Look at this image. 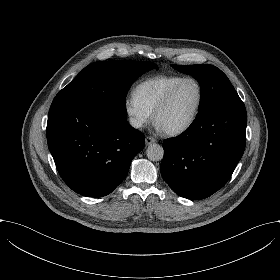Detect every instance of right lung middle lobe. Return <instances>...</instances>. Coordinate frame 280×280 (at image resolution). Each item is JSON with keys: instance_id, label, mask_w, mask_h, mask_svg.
<instances>
[{"instance_id": "dd1d6c3e", "label": "right lung middle lobe", "mask_w": 280, "mask_h": 280, "mask_svg": "<svg viewBox=\"0 0 280 280\" xmlns=\"http://www.w3.org/2000/svg\"><path fill=\"white\" fill-rule=\"evenodd\" d=\"M158 66L148 61H103L85 67L54 100L68 99L127 118L125 98L133 82Z\"/></svg>"}]
</instances>
